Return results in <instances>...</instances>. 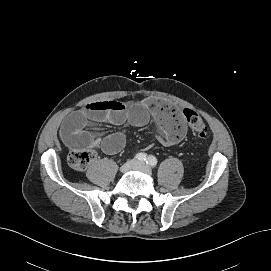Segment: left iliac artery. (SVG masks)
<instances>
[{
	"label": "left iliac artery",
	"mask_w": 271,
	"mask_h": 271,
	"mask_svg": "<svg viewBox=\"0 0 271 271\" xmlns=\"http://www.w3.org/2000/svg\"><path fill=\"white\" fill-rule=\"evenodd\" d=\"M146 163L152 167H155L157 165V159L154 156H149Z\"/></svg>",
	"instance_id": "obj_1"
}]
</instances>
